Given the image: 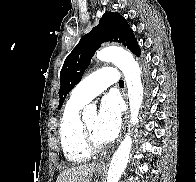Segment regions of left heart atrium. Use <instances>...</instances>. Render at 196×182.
<instances>
[{
	"instance_id": "1",
	"label": "left heart atrium",
	"mask_w": 196,
	"mask_h": 182,
	"mask_svg": "<svg viewBox=\"0 0 196 182\" xmlns=\"http://www.w3.org/2000/svg\"><path fill=\"white\" fill-rule=\"evenodd\" d=\"M122 105L115 95L103 98L97 118L96 133L102 142L112 141L121 127Z\"/></svg>"
}]
</instances>
